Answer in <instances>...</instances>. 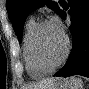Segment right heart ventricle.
Wrapping results in <instances>:
<instances>
[{"label": "right heart ventricle", "mask_w": 89, "mask_h": 89, "mask_svg": "<svg viewBox=\"0 0 89 89\" xmlns=\"http://www.w3.org/2000/svg\"><path fill=\"white\" fill-rule=\"evenodd\" d=\"M37 22L33 17H30L26 22L23 35V58L27 73L34 78H39L47 74L46 71L37 67L31 51V39L33 32L37 26Z\"/></svg>", "instance_id": "right-heart-ventricle-1"}]
</instances>
